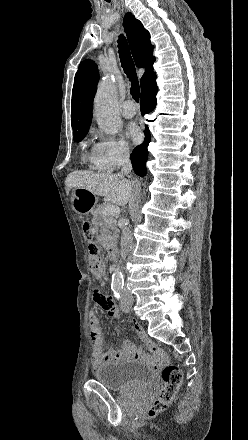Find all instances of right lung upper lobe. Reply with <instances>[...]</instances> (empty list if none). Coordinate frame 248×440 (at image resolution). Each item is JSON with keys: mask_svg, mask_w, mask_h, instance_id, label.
<instances>
[{"mask_svg": "<svg viewBox=\"0 0 248 440\" xmlns=\"http://www.w3.org/2000/svg\"><path fill=\"white\" fill-rule=\"evenodd\" d=\"M123 25L131 52L137 67H145L141 83V92L151 82L156 80L153 72V46L150 42V34L131 13H127ZM97 66L92 60L83 61L75 75L72 90L71 124L73 133L89 130L92 121L93 96L96 93L98 81Z\"/></svg>", "mask_w": 248, "mask_h": 440, "instance_id": "obj_1", "label": "right lung upper lobe"}]
</instances>
